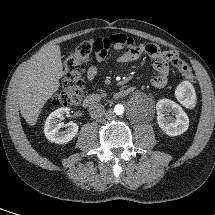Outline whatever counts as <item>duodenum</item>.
Segmentation results:
<instances>
[{"mask_svg": "<svg viewBox=\"0 0 215 215\" xmlns=\"http://www.w3.org/2000/svg\"><path fill=\"white\" fill-rule=\"evenodd\" d=\"M132 91H133L132 87L122 89L118 93H116L115 97H116V99H123V98L127 97L128 95H130L132 93ZM100 101H101L100 95L89 94L84 98L82 105L85 108H90V107L96 105L97 103H99Z\"/></svg>", "mask_w": 215, "mask_h": 215, "instance_id": "duodenum-1", "label": "duodenum"}]
</instances>
